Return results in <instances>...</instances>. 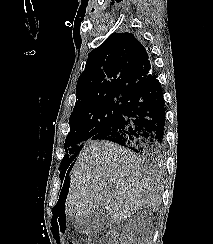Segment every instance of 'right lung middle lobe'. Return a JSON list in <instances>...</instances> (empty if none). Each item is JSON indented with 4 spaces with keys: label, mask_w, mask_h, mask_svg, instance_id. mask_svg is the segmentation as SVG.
Instances as JSON below:
<instances>
[{
    "label": "right lung middle lobe",
    "mask_w": 213,
    "mask_h": 244,
    "mask_svg": "<svg viewBox=\"0 0 213 244\" xmlns=\"http://www.w3.org/2000/svg\"><path fill=\"white\" fill-rule=\"evenodd\" d=\"M130 99L131 97L124 95H108L74 108L69 118L70 132L65 142L67 154L59 168L61 180L83 144L95 135L109 130L119 119Z\"/></svg>",
    "instance_id": "dd1d6c3e"
}]
</instances>
